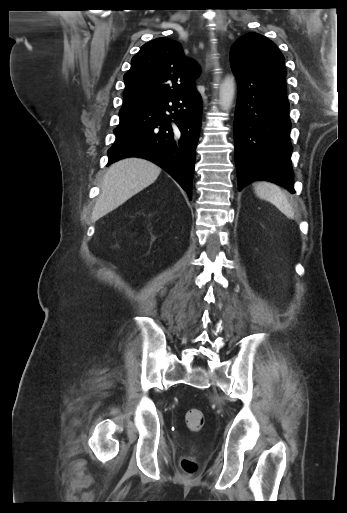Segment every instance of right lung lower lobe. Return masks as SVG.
<instances>
[{"instance_id":"obj_1","label":"right lung lower lobe","mask_w":347,"mask_h":513,"mask_svg":"<svg viewBox=\"0 0 347 513\" xmlns=\"http://www.w3.org/2000/svg\"><path fill=\"white\" fill-rule=\"evenodd\" d=\"M201 114L197 90L121 110L108 165L132 156L148 159L167 171L191 199Z\"/></svg>"}]
</instances>
